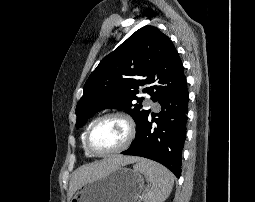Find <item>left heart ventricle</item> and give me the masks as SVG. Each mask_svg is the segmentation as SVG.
Returning <instances> with one entry per match:
<instances>
[{
	"mask_svg": "<svg viewBox=\"0 0 255 202\" xmlns=\"http://www.w3.org/2000/svg\"><path fill=\"white\" fill-rule=\"evenodd\" d=\"M127 128L123 121L111 118L99 123L92 131L90 144L97 152L118 148L126 139Z\"/></svg>",
	"mask_w": 255,
	"mask_h": 202,
	"instance_id": "b2bd125f",
	"label": "left heart ventricle"
}]
</instances>
